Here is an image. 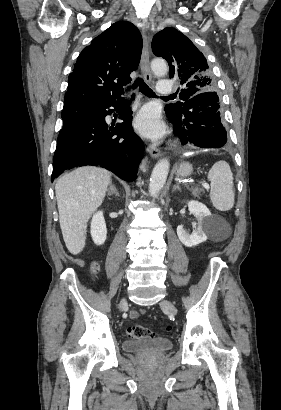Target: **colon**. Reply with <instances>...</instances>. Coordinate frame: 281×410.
<instances>
[{
	"label": "colon",
	"instance_id": "obj_1",
	"mask_svg": "<svg viewBox=\"0 0 281 410\" xmlns=\"http://www.w3.org/2000/svg\"><path fill=\"white\" fill-rule=\"evenodd\" d=\"M91 270L93 274H96L98 272L99 265L97 262L92 263ZM127 335L131 339L155 338L157 336V334L153 330L140 325L129 327L127 329Z\"/></svg>",
	"mask_w": 281,
	"mask_h": 410
}]
</instances>
